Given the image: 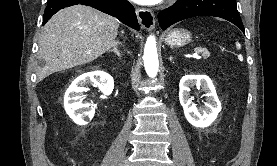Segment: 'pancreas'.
<instances>
[{
    "instance_id": "1",
    "label": "pancreas",
    "mask_w": 277,
    "mask_h": 166,
    "mask_svg": "<svg viewBox=\"0 0 277 166\" xmlns=\"http://www.w3.org/2000/svg\"><path fill=\"white\" fill-rule=\"evenodd\" d=\"M195 50L200 52V53H202V54H204V55H208L209 54V52L206 49L201 48V47H198ZM209 56H210V54H209ZM205 58H208V57H205Z\"/></svg>"
}]
</instances>
